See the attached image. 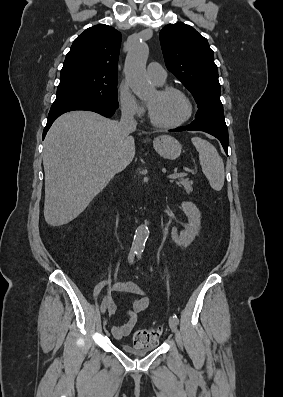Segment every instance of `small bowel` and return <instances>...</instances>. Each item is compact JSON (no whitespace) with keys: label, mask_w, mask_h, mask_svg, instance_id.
Returning a JSON list of instances; mask_svg holds the SVG:
<instances>
[{"label":"small bowel","mask_w":283,"mask_h":397,"mask_svg":"<svg viewBox=\"0 0 283 397\" xmlns=\"http://www.w3.org/2000/svg\"><path fill=\"white\" fill-rule=\"evenodd\" d=\"M109 292L116 294L127 293L135 296L130 300L129 307L125 310L128 316L127 322L122 325H114L111 329L116 339H123L128 336L135 327L138 315L147 310L150 300L147 297L146 291L139 284L131 281H115L110 286ZM107 303L109 315L114 316L117 311V305L111 295L108 296Z\"/></svg>","instance_id":"1"}]
</instances>
